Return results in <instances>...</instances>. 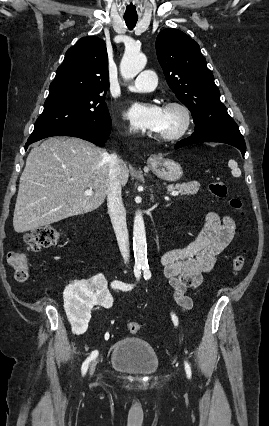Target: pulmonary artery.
<instances>
[{"label":"pulmonary artery","instance_id":"obj_1","mask_svg":"<svg viewBox=\"0 0 269 426\" xmlns=\"http://www.w3.org/2000/svg\"><path fill=\"white\" fill-rule=\"evenodd\" d=\"M155 87V72L152 70H144L128 84L127 89L133 92H149L154 90Z\"/></svg>","mask_w":269,"mask_h":426}]
</instances>
